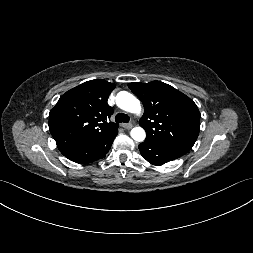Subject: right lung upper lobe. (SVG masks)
Here are the masks:
<instances>
[{
	"label": "right lung upper lobe",
	"instance_id": "obj_1",
	"mask_svg": "<svg viewBox=\"0 0 253 253\" xmlns=\"http://www.w3.org/2000/svg\"><path fill=\"white\" fill-rule=\"evenodd\" d=\"M115 85L96 79L63 94L49 113V130L60 152L65 155L118 131L108 122L113 109L107 100Z\"/></svg>",
	"mask_w": 253,
	"mask_h": 253
}]
</instances>
